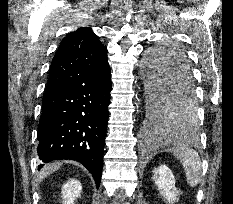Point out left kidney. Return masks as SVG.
I'll return each instance as SVG.
<instances>
[{
    "label": "left kidney",
    "instance_id": "left-kidney-1",
    "mask_svg": "<svg viewBox=\"0 0 233 204\" xmlns=\"http://www.w3.org/2000/svg\"><path fill=\"white\" fill-rule=\"evenodd\" d=\"M152 178L160 194L169 204H173L177 200L178 190L175 187V178L172 171L166 165H161L154 170Z\"/></svg>",
    "mask_w": 233,
    "mask_h": 204
}]
</instances>
